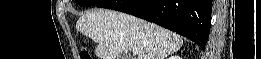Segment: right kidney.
I'll use <instances>...</instances> for the list:
<instances>
[{
    "instance_id": "ca27d5eb",
    "label": "right kidney",
    "mask_w": 261,
    "mask_h": 59,
    "mask_svg": "<svg viewBox=\"0 0 261 59\" xmlns=\"http://www.w3.org/2000/svg\"><path fill=\"white\" fill-rule=\"evenodd\" d=\"M169 59H180V57L179 56H172Z\"/></svg>"
}]
</instances>
